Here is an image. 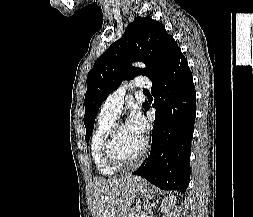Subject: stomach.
Listing matches in <instances>:
<instances>
[{"label": "stomach", "instance_id": "1", "mask_svg": "<svg viewBox=\"0 0 253 217\" xmlns=\"http://www.w3.org/2000/svg\"><path fill=\"white\" fill-rule=\"evenodd\" d=\"M135 194L142 198H148L152 196L153 189L148 187L144 182H138L135 187Z\"/></svg>", "mask_w": 253, "mask_h": 217}]
</instances>
